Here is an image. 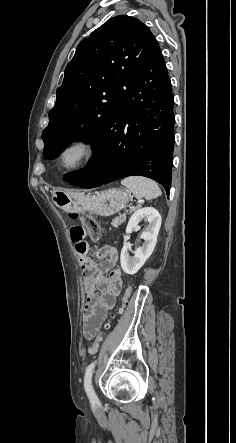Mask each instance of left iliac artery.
Here are the masks:
<instances>
[{"mask_svg":"<svg viewBox=\"0 0 236 443\" xmlns=\"http://www.w3.org/2000/svg\"><path fill=\"white\" fill-rule=\"evenodd\" d=\"M95 364L96 362H92L90 365H88L84 376V388L89 400L92 403H95L98 400L97 395L92 386V375L94 372Z\"/></svg>","mask_w":236,"mask_h":443,"instance_id":"44dca946","label":"left iliac artery"}]
</instances>
